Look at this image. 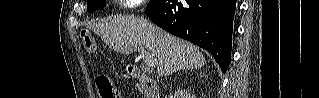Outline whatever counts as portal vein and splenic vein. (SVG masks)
I'll use <instances>...</instances> for the list:
<instances>
[{"instance_id": "obj_1", "label": "portal vein and splenic vein", "mask_w": 319, "mask_h": 98, "mask_svg": "<svg viewBox=\"0 0 319 98\" xmlns=\"http://www.w3.org/2000/svg\"><path fill=\"white\" fill-rule=\"evenodd\" d=\"M137 49H138V52L143 56L147 66L153 67L156 65V62L153 59L152 55L145 48H143L142 46H139Z\"/></svg>"}]
</instances>
